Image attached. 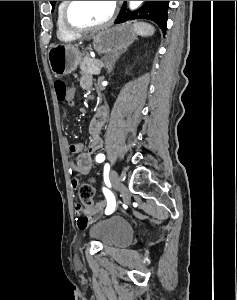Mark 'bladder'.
<instances>
[{
  "label": "bladder",
  "mask_w": 237,
  "mask_h": 300,
  "mask_svg": "<svg viewBox=\"0 0 237 300\" xmlns=\"http://www.w3.org/2000/svg\"><path fill=\"white\" fill-rule=\"evenodd\" d=\"M130 224L120 217H109L94 222L89 227V235L104 247H120L132 239Z\"/></svg>",
  "instance_id": "obj_1"
}]
</instances>
